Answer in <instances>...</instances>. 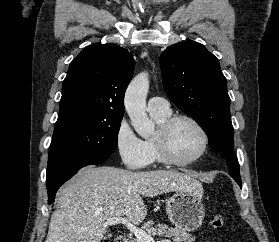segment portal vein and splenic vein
Masks as SVG:
<instances>
[{
  "label": "portal vein and splenic vein",
  "mask_w": 279,
  "mask_h": 242,
  "mask_svg": "<svg viewBox=\"0 0 279 242\" xmlns=\"http://www.w3.org/2000/svg\"><path fill=\"white\" fill-rule=\"evenodd\" d=\"M123 224L129 229L141 242H155L154 239L143 229L135 226L129 220L122 218V217H113L108 219L103 225H118ZM162 242H170L168 240Z\"/></svg>",
  "instance_id": "18ae733b"
}]
</instances>
